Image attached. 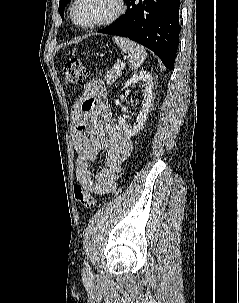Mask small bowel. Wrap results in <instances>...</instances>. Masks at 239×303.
I'll list each match as a JSON object with an SVG mask.
<instances>
[{"label": "small bowel", "mask_w": 239, "mask_h": 303, "mask_svg": "<svg viewBox=\"0 0 239 303\" xmlns=\"http://www.w3.org/2000/svg\"><path fill=\"white\" fill-rule=\"evenodd\" d=\"M73 114V142L78 155L76 180L91 192L109 194L116 188L117 176L132 152L133 142L112 118L102 80H88ZM102 151L106 152L105 166L93 178L89 165Z\"/></svg>", "instance_id": "1"}]
</instances>
